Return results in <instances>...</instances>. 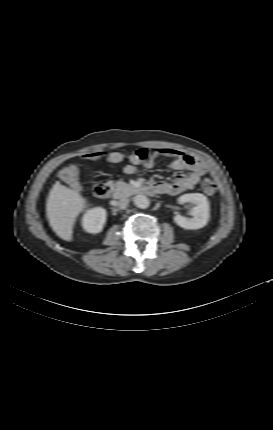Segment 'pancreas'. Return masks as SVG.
Segmentation results:
<instances>
[{
	"label": "pancreas",
	"instance_id": "obj_1",
	"mask_svg": "<svg viewBox=\"0 0 273 430\" xmlns=\"http://www.w3.org/2000/svg\"><path fill=\"white\" fill-rule=\"evenodd\" d=\"M114 187V198L128 197L134 192V187L123 181H110L109 182Z\"/></svg>",
	"mask_w": 273,
	"mask_h": 430
}]
</instances>
